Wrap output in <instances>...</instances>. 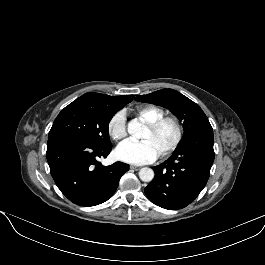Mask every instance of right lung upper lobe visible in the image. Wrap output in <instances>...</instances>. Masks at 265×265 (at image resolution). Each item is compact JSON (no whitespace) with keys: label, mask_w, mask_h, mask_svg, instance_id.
Segmentation results:
<instances>
[{"label":"right lung upper lobe","mask_w":265,"mask_h":265,"mask_svg":"<svg viewBox=\"0 0 265 265\" xmlns=\"http://www.w3.org/2000/svg\"><path fill=\"white\" fill-rule=\"evenodd\" d=\"M134 95H123V96H108L106 94L89 92L75 101L86 102L108 111L120 110L127 103L131 102Z\"/></svg>","instance_id":"cb5924a9"}]
</instances>
